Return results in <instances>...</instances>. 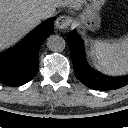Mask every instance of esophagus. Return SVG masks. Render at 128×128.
Returning a JSON list of instances; mask_svg holds the SVG:
<instances>
[{"mask_svg":"<svg viewBox=\"0 0 128 128\" xmlns=\"http://www.w3.org/2000/svg\"><path fill=\"white\" fill-rule=\"evenodd\" d=\"M72 19L68 15H60L55 21V27L57 29H66L71 25Z\"/></svg>","mask_w":128,"mask_h":128,"instance_id":"esophagus-1","label":"esophagus"}]
</instances>
